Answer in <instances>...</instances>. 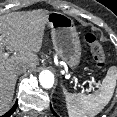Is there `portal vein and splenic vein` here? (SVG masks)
Listing matches in <instances>:
<instances>
[{
  "label": "portal vein and splenic vein",
  "mask_w": 117,
  "mask_h": 117,
  "mask_svg": "<svg viewBox=\"0 0 117 117\" xmlns=\"http://www.w3.org/2000/svg\"><path fill=\"white\" fill-rule=\"evenodd\" d=\"M4 56H5V57H8V56H9V54H8V53H5V54H4ZM75 82H77V80H76V79H75ZM89 83H90V85H92V81H90ZM87 91H88V90H87Z\"/></svg>",
  "instance_id": "18ae733b"
}]
</instances>
